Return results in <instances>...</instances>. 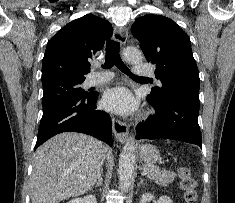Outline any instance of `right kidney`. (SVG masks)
<instances>
[{
	"mask_svg": "<svg viewBox=\"0 0 235 203\" xmlns=\"http://www.w3.org/2000/svg\"><path fill=\"white\" fill-rule=\"evenodd\" d=\"M67 203H97V199L94 195H87L84 198H75Z\"/></svg>",
	"mask_w": 235,
	"mask_h": 203,
	"instance_id": "obj_1",
	"label": "right kidney"
}]
</instances>
